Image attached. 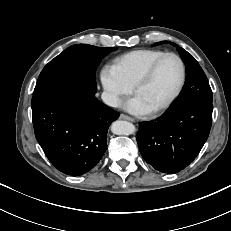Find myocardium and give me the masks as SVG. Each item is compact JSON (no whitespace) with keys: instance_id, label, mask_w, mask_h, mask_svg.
I'll return each mask as SVG.
<instances>
[{"instance_id":"1","label":"myocardium","mask_w":231,"mask_h":231,"mask_svg":"<svg viewBox=\"0 0 231 231\" xmlns=\"http://www.w3.org/2000/svg\"><path fill=\"white\" fill-rule=\"evenodd\" d=\"M167 57H173L179 62L180 69H181L180 81H179V84H178L177 88L171 94V96L165 102H163L162 104H160L156 108L152 109L150 111L151 114H157V113L163 112L166 109H168L175 102V100L179 97V95L181 94V92H182V90H183V88L185 86V82H186V65H185L183 59L176 53L166 52V53L162 54L161 56H159L158 58H156L145 69V71L140 75V77L137 79V81L133 85V92L136 94L138 89L141 88L143 85H145L151 79V77L153 76V74H154L157 66L159 65V63L163 59H165Z\"/></svg>"}]
</instances>
